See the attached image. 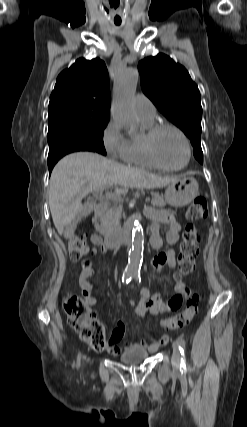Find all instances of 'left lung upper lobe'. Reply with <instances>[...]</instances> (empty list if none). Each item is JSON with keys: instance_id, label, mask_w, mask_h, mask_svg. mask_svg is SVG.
<instances>
[{"instance_id": "1", "label": "left lung upper lobe", "mask_w": 247, "mask_h": 427, "mask_svg": "<svg viewBox=\"0 0 247 427\" xmlns=\"http://www.w3.org/2000/svg\"><path fill=\"white\" fill-rule=\"evenodd\" d=\"M138 69L144 94L186 134L195 158L203 163L200 92L188 71L164 54L141 60Z\"/></svg>"}]
</instances>
